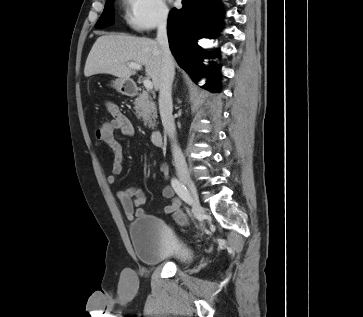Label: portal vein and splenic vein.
<instances>
[{
  "label": "portal vein and splenic vein",
  "mask_w": 363,
  "mask_h": 317,
  "mask_svg": "<svg viewBox=\"0 0 363 317\" xmlns=\"http://www.w3.org/2000/svg\"><path fill=\"white\" fill-rule=\"evenodd\" d=\"M127 66L131 69L141 70L142 66L137 63H128ZM144 87L148 90L153 89V83L149 79L143 81Z\"/></svg>",
  "instance_id": "1"
}]
</instances>
